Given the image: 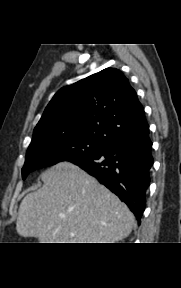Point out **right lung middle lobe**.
<instances>
[{
	"mask_svg": "<svg viewBox=\"0 0 181 288\" xmlns=\"http://www.w3.org/2000/svg\"><path fill=\"white\" fill-rule=\"evenodd\" d=\"M104 148L102 142L81 135L52 136L34 140L27 150L22 177L25 179L30 172L61 161L71 162L96 154Z\"/></svg>",
	"mask_w": 181,
	"mask_h": 288,
	"instance_id": "obj_1",
	"label": "right lung middle lobe"
}]
</instances>
